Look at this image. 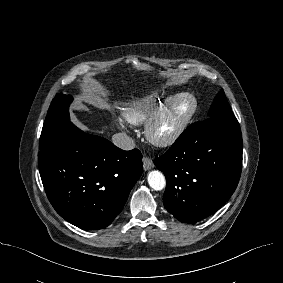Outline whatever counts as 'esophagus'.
I'll list each match as a JSON object with an SVG mask.
<instances>
[{
  "instance_id": "obj_1",
  "label": "esophagus",
  "mask_w": 283,
  "mask_h": 283,
  "mask_svg": "<svg viewBox=\"0 0 283 283\" xmlns=\"http://www.w3.org/2000/svg\"><path fill=\"white\" fill-rule=\"evenodd\" d=\"M142 162H143V168L145 171L152 169L154 166L153 161L150 157L144 156L142 159Z\"/></svg>"
}]
</instances>
